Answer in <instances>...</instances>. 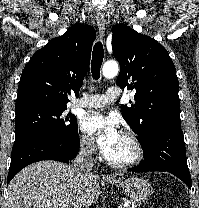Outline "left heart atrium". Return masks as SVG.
Here are the masks:
<instances>
[{
  "label": "left heart atrium",
  "instance_id": "1",
  "mask_svg": "<svg viewBox=\"0 0 199 208\" xmlns=\"http://www.w3.org/2000/svg\"><path fill=\"white\" fill-rule=\"evenodd\" d=\"M80 126L85 133L96 136L98 145L105 155L122 136L119 120L113 115L99 111L86 114L81 119Z\"/></svg>",
  "mask_w": 199,
  "mask_h": 208
}]
</instances>
